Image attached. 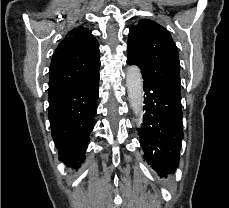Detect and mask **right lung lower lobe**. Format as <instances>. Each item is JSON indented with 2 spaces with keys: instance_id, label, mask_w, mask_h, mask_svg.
<instances>
[{
  "instance_id": "right-lung-lower-lobe-1",
  "label": "right lung lower lobe",
  "mask_w": 229,
  "mask_h": 208,
  "mask_svg": "<svg viewBox=\"0 0 229 208\" xmlns=\"http://www.w3.org/2000/svg\"><path fill=\"white\" fill-rule=\"evenodd\" d=\"M99 67L95 72L49 95L48 118L59 159L79 168L94 127L99 95Z\"/></svg>"
}]
</instances>
